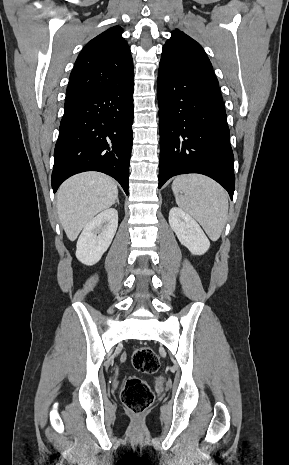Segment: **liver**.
Masks as SVG:
<instances>
[{"instance_id": "1", "label": "liver", "mask_w": 289, "mask_h": 465, "mask_svg": "<svg viewBox=\"0 0 289 465\" xmlns=\"http://www.w3.org/2000/svg\"><path fill=\"white\" fill-rule=\"evenodd\" d=\"M117 197V184L102 173H81L65 181L57 192V211L69 240L74 241L94 216L111 207Z\"/></svg>"}]
</instances>
